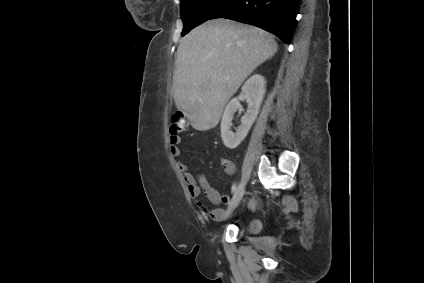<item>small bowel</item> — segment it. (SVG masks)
<instances>
[{"mask_svg": "<svg viewBox=\"0 0 424 283\" xmlns=\"http://www.w3.org/2000/svg\"><path fill=\"white\" fill-rule=\"evenodd\" d=\"M180 142V136L172 135L170 137V151L174 157H179L181 154L179 148ZM220 162L227 175L233 176L235 174L236 167L231 160L221 158ZM178 167L183 175L191 198L195 201L201 212L214 221H220L226 218V210L222 208H216L212 210L208 209L201 199V193L203 192L205 197L213 204H219L221 202L228 204L230 202V197L228 195H220V193L210 184L209 180L204 174H198L195 176L190 171L189 167L182 162H178ZM251 203H254L253 199L251 200Z\"/></svg>", "mask_w": 424, "mask_h": 283, "instance_id": "small-bowel-1", "label": "small bowel"}]
</instances>
